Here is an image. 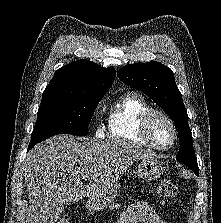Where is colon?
Returning <instances> with one entry per match:
<instances>
[{
    "mask_svg": "<svg viewBox=\"0 0 221 223\" xmlns=\"http://www.w3.org/2000/svg\"><path fill=\"white\" fill-rule=\"evenodd\" d=\"M158 194L162 200L173 199L178 195V187L170 180H163L159 185ZM55 223H69V219L62 216Z\"/></svg>",
    "mask_w": 221,
    "mask_h": 223,
    "instance_id": "5ec220e1",
    "label": "colon"
}]
</instances>
